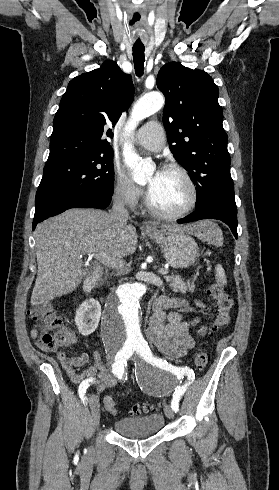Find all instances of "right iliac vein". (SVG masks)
<instances>
[{
    "label": "right iliac vein",
    "mask_w": 279,
    "mask_h": 490,
    "mask_svg": "<svg viewBox=\"0 0 279 490\" xmlns=\"http://www.w3.org/2000/svg\"><path fill=\"white\" fill-rule=\"evenodd\" d=\"M91 409V423L94 427H98L100 423V405L97 395H91L88 399Z\"/></svg>",
    "instance_id": "63e3f726"
}]
</instances>
